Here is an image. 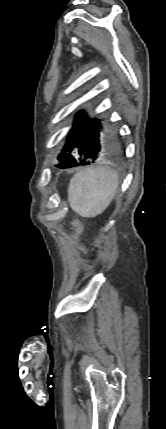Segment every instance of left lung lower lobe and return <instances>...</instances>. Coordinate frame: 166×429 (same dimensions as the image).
Here are the masks:
<instances>
[{
	"instance_id": "left-lung-lower-lobe-1",
	"label": "left lung lower lobe",
	"mask_w": 166,
	"mask_h": 429,
	"mask_svg": "<svg viewBox=\"0 0 166 429\" xmlns=\"http://www.w3.org/2000/svg\"><path fill=\"white\" fill-rule=\"evenodd\" d=\"M102 125L100 120L91 119L87 113L80 111L76 114L73 126L67 138V143L57 157L60 169L90 164L87 159H95L101 151L100 131ZM78 149L81 158H75L71 152Z\"/></svg>"
}]
</instances>
